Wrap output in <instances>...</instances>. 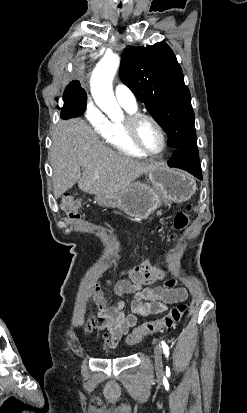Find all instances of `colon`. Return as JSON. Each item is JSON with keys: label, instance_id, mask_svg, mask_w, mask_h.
I'll return each instance as SVG.
<instances>
[{"label": "colon", "instance_id": "obj_1", "mask_svg": "<svg viewBox=\"0 0 247 413\" xmlns=\"http://www.w3.org/2000/svg\"><path fill=\"white\" fill-rule=\"evenodd\" d=\"M80 207V201L73 197H65L61 203V209L69 219L79 218ZM191 210L192 207L188 206V212ZM188 212H180L174 216V227L179 229L181 232L187 226L186 221H190V215ZM167 240L173 241L174 235L168 234ZM115 263L117 266L114 269V274L117 277H122L123 275H129L132 273L133 279L140 286H147L151 280H158L161 275H165L168 272V263L165 260H160L154 265L151 262H144L140 266L139 264H129L124 255H118L115 258ZM187 308L188 307L186 304H179L173 307L162 318L143 321L139 326L135 327L132 333L127 337V343L136 344L149 334L163 330H172L184 318Z\"/></svg>", "mask_w": 247, "mask_h": 413}]
</instances>
